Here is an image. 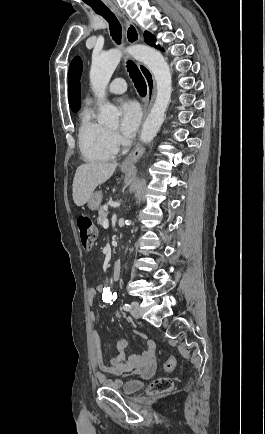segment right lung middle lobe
<instances>
[{
  "label": "right lung middle lobe",
  "mask_w": 265,
  "mask_h": 434,
  "mask_svg": "<svg viewBox=\"0 0 265 434\" xmlns=\"http://www.w3.org/2000/svg\"><path fill=\"white\" fill-rule=\"evenodd\" d=\"M79 108H80V106L71 107L72 111H74V112L78 111Z\"/></svg>",
  "instance_id": "right-lung-middle-lobe-1"
}]
</instances>
